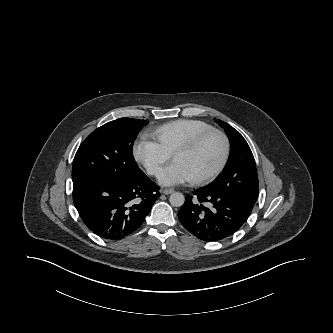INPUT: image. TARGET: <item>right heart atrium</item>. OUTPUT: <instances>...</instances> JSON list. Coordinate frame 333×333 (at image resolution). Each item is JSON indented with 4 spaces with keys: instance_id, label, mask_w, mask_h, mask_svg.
Instances as JSON below:
<instances>
[{
    "instance_id": "obj_1",
    "label": "right heart atrium",
    "mask_w": 333,
    "mask_h": 333,
    "mask_svg": "<svg viewBox=\"0 0 333 333\" xmlns=\"http://www.w3.org/2000/svg\"><path fill=\"white\" fill-rule=\"evenodd\" d=\"M133 156L151 176L158 177L170 154L160 144L147 136H142L133 147Z\"/></svg>"
}]
</instances>
